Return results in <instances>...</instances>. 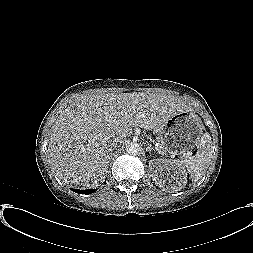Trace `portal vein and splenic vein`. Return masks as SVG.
I'll use <instances>...</instances> for the list:
<instances>
[{
  "label": "portal vein and splenic vein",
  "instance_id": "portal-vein-and-splenic-vein-1",
  "mask_svg": "<svg viewBox=\"0 0 253 253\" xmlns=\"http://www.w3.org/2000/svg\"><path fill=\"white\" fill-rule=\"evenodd\" d=\"M156 150H158V152H161L158 148H156Z\"/></svg>",
  "mask_w": 253,
  "mask_h": 253
}]
</instances>
